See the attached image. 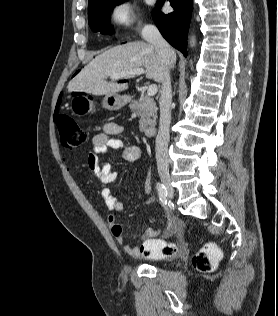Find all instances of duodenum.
Instances as JSON below:
<instances>
[{
	"label": "duodenum",
	"mask_w": 278,
	"mask_h": 316,
	"mask_svg": "<svg viewBox=\"0 0 278 316\" xmlns=\"http://www.w3.org/2000/svg\"><path fill=\"white\" fill-rule=\"evenodd\" d=\"M155 132H156V129L153 126L146 127L144 130V133L147 136H153L155 134Z\"/></svg>",
	"instance_id": "410a0bca"
}]
</instances>
